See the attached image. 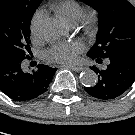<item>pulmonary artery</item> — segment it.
I'll return each mask as SVG.
<instances>
[{
	"label": "pulmonary artery",
	"instance_id": "obj_1",
	"mask_svg": "<svg viewBox=\"0 0 135 135\" xmlns=\"http://www.w3.org/2000/svg\"><path fill=\"white\" fill-rule=\"evenodd\" d=\"M71 26H74L75 25V23H72V24H70Z\"/></svg>",
	"mask_w": 135,
	"mask_h": 135
}]
</instances>
